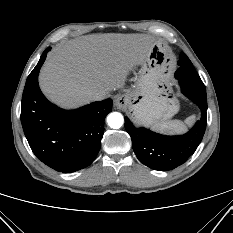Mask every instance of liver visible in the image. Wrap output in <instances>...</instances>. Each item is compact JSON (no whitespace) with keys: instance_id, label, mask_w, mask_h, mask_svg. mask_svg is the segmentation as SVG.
Instances as JSON below:
<instances>
[{"instance_id":"obj_1","label":"liver","mask_w":233,"mask_h":233,"mask_svg":"<svg viewBox=\"0 0 233 233\" xmlns=\"http://www.w3.org/2000/svg\"><path fill=\"white\" fill-rule=\"evenodd\" d=\"M147 34H93L69 40L49 53L39 75L44 95L63 108L91 101L97 91L123 88L130 70L149 57Z\"/></svg>"}]
</instances>
